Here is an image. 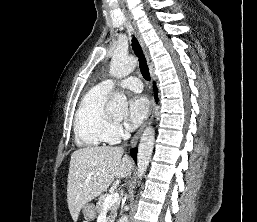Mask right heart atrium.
<instances>
[{
    "mask_svg": "<svg viewBox=\"0 0 257 222\" xmlns=\"http://www.w3.org/2000/svg\"><path fill=\"white\" fill-rule=\"evenodd\" d=\"M126 136V132L121 124L111 123L108 130L109 143H115Z\"/></svg>",
    "mask_w": 257,
    "mask_h": 222,
    "instance_id": "d8ad5b80",
    "label": "right heart atrium"
}]
</instances>
